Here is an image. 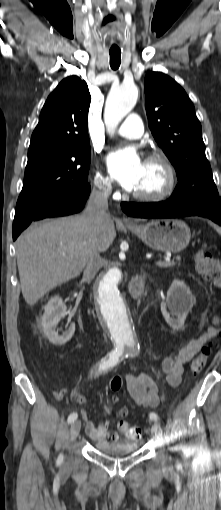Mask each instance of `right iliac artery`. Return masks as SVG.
<instances>
[{"instance_id": "right-iliac-artery-1", "label": "right iliac artery", "mask_w": 221, "mask_h": 510, "mask_svg": "<svg viewBox=\"0 0 221 510\" xmlns=\"http://www.w3.org/2000/svg\"><path fill=\"white\" fill-rule=\"evenodd\" d=\"M120 356H121V353L119 351L112 350L109 353L108 357L103 359L101 361V363L99 364V371H105V370L109 369L110 367L115 366L119 362ZM77 417H78V415L76 412L71 413L68 417V423H73L77 419ZM62 461H63V455L60 454L57 459V462L61 463Z\"/></svg>"}]
</instances>
